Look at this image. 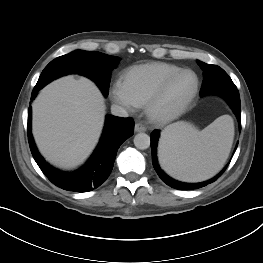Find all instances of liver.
I'll list each match as a JSON object with an SVG mask.
<instances>
[{
  "mask_svg": "<svg viewBox=\"0 0 263 263\" xmlns=\"http://www.w3.org/2000/svg\"><path fill=\"white\" fill-rule=\"evenodd\" d=\"M105 116L104 98L88 78L65 76L48 84L32 104V132L51 164L70 169L96 146Z\"/></svg>",
  "mask_w": 263,
  "mask_h": 263,
  "instance_id": "liver-1",
  "label": "liver"
}]
</instances>
